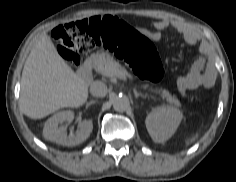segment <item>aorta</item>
Listing matches in <instances>:
<instances>
[{"label": "aorta", "mask_w": 236, "mask_h": 182, "mask_svg": "<svg viewBox=\"0 0 236 182\" xmlns=\"http://www.w3.org/2000/svg\"><path fill=\"white\" fill-rule=\"evenodd\" d=\"M113 108L118 112H124L129 107V100L126 96L118 95L113 98Z\"/></svg>", "instance_id": "aorta-1"}]
</instances>
